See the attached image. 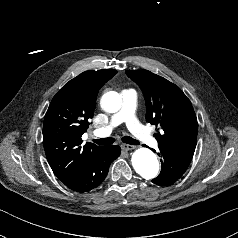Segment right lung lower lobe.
<instances>
[{
	"mask_svg": "<svg viewBox=\"0 0 238 238\" xmlns=\"http://www.w3.org/2000/svg\"><path fill=\"white\" fill-rule=\"evenodd\" d=\"M120 155L119 146H104L92 154L74 173L61 181L71 190L88 192L98 187L107 176L109 166Z\"/></svg>",
	"mask_w": 238,
	"mask_h": 238,
	"instance_id": "obj_1",
	"label": "right lung lower lobe"
}]
</instances>
